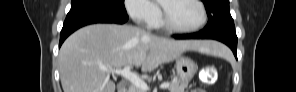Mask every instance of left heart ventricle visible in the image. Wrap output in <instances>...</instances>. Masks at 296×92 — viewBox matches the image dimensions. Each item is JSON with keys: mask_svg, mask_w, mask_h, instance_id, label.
<instances>
[{"mask_svg": "<svg viewBox=\"0 0 296 92\" xmlns=\"http://www.w3.org/2000/svg\"><path fill=\"white\" fill-rule=\"evenodd\" d=\"M167 12L170 21L180 28L195 27L201 20L200 8L190 0L169 2Z\"/></svg>", "mask_w": 296, "mask_h": 92, "instance_id": "b2bd125f", "label": "left heart ventricle"}]
</instances>
